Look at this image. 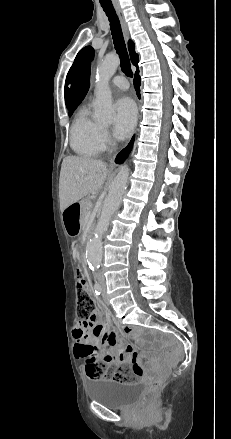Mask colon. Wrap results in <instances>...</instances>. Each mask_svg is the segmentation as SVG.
<instances>
[{"mask_svg":"<svg viewBox=\"0 0 231 439\" xmlns=\"http://www.w3.org/2000/svg\"><path fill=\"white\" fill-rule=\"evenodd\" d=\"M76 286L78 291L77 316L81 322L88 323L93 318L95 303L87 290L86 280L80 271L76 275ZM122 330L124 333H130L132 328L126 326ZM85 366L87 375L91 379L112 378L117 382H129L134 376L142 373L139 365H132L131 367L120 366L110 373L107 364L105 362H98L94 357L86 360ZM164 380L165 375H161L147 381V387L141 396L142 405L148 404L154 398Z\"/></svg>","mask_w":231,"mask_h":439,"instance_id":"colon-1","label":"colon"}]
</instances>
